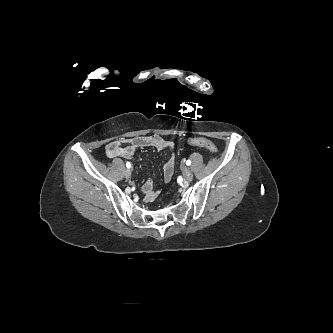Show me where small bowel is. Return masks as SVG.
Listing matches in <instances>:
<instances>
[{"label":"small bowel","instance_id":"small-bowel-1","mask_svg":"<svg viewBox=\"0 0 333 333\" xmlns=\"http://www.w3.org/2000/svg\"><path fill=\"white\" fill-rule=\"evenodd\" d=\"M124 143H128L124 146ZM153 147L158 151L171 150L174 147V143L161 135H147L139 136L126 141H113L106 147V155L109 158L123 157L126 159L131 158L139 148ZM175 168V157L171 154L166 160L163 167V179L165 182H169L173 176ZM142 192L144 194V200L146 202H152L158 196V190L154 188V183L151 179L147 180L142 186Z\"/></svg>","mask_w":333,"mask_h":333}]
</instances>
